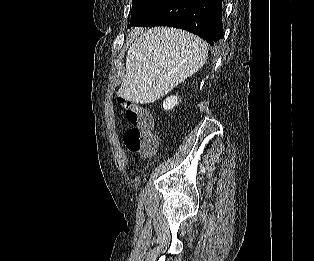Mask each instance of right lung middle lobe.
<instances>
[{
	"label": "right lung middle lobe",
	"instance_id": "obj_1",
	"mask_svg": "<svg viewBox=\"0 0 314 261\" xmlns=\"http://www.w3.org/2000/svg\"><path fill=\"white\" fill-rule=\"evenodd\" d=\"M168 1L169 0H133L130 26L142 22Z\"/></svg>",
	"mask_w": 314,
	"mask_h": 261
}]
</instances>
